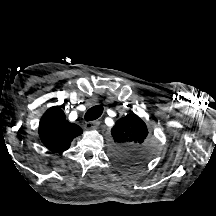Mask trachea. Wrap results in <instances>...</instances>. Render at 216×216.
Listing matches in <instances>:
<instances>
[{
	"label": "trachea",
	"mask_w": 216,
	"mask_h": 216,
	"mask_svg": "<svg viewBox=\"0 0 216 216\" xmlns=\"http://www.w3.org/2000/svg\"><path fill=\"white\" fill-rule=\"evenodd\" d=\"M103 113V107L101 105H96L90 108L86 113H85V120L86 121H93L98 119Z\"/></svg>",
	"instance_id": "obj_1"
}]
</instances>
